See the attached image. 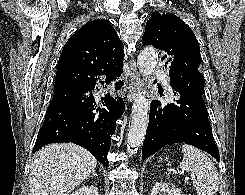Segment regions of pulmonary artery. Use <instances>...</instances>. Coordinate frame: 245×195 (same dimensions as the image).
<instances>
[{"label":"pulmonary artery","mask_w":245,"mask_h":195,"mask_svg":"<svg viewBox=\"0 0 245 195\" xmlns=\"http://www.w3.org/2000/svg\"><path fill=\"white\" fill-rule=\"evenodd\" d=\"M165 83L168 85V79L167 78L165 79Z\"/></svg>","instance_id":"pulmonary-artery-1"}]
</instances>
